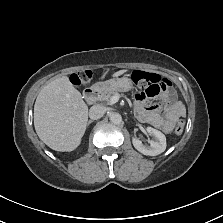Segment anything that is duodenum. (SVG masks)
I'll return each mask as SVG.
<instances>
[{
	"mask_svg": "<svg viewBox=\"0 0 223 223\" xmlns=\"http://www.w3.org/2000/svg\"><path fill=\"white\" fill-rule=\"evenodd\" d=\"M104 93V87L102 84H96L84 94V99L88 104H93L100 94Z\"/></svg>",
	"mask_w": 223,
	"mask_h": 223,
	"instance_id": "duodenum-1",
	"label": "duodenum"
}]
</instances>
